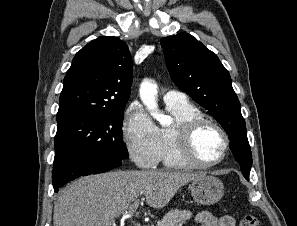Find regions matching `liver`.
Segmentation results:
<instances>
[{"label": "liver", "mask_w": 297, "mask_h": 226, "mask_svg": "<svg viewBox=\"0 0 297 226\" xmlns=\"http://www.w3.org/2000/svg\"><path fill=\"white\" fill-rule=\"evenodd\" d=\"M206 176L159 170L114 171L80 178L63 189L54 205L53 226H112L144 195L150 207L161 209L180 187Z\"/></svg>", "instance_id": "1"}]
</instances>
